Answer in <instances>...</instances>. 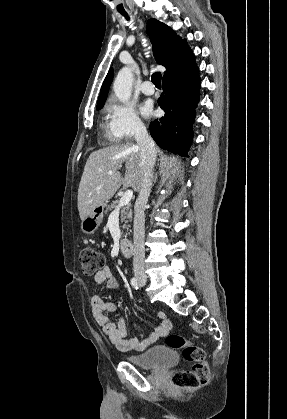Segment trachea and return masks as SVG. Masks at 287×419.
Masks as SVG:
<instances>
[{
  "label": "trachea",
  "mask_w": 287,
  "mask_h": 419,
  "mask_svg": "<svg viewBox=\"0 0 287 419\" xmlns=\"http://www.w3.org/2000/svg\"><path fill=\"white\" fill-rule=\"evenodd\" d=\"M124 16L126 17V19H129L127 15H124ZM151 80L157 88H161V73L160 72L153 73Z\"/></svg>",
  "instance_id": "1"
}]
</instances>
